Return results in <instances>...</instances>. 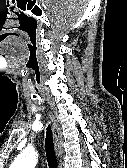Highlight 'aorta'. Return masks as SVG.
<instances>
[{"label": "aorta", "instance_id": "762f6f07", "mask_svg": "<svg viewBox=\"0 0 127 168\" xmlns=\"http://www.w3.org/2000/svg\"><path fill=\"white\" fill-rule=\"evenodd\" d=\"M36 163L37 153L27 148L15 159L10 168H35Z\"/></svg>", "mask_w": 127, "mask_h": 168}]
</instances>
